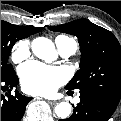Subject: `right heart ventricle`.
I'll return each instance as SVG.
<instances>
[{
  "mask_svg": "<svg viewBox=\"0 0 121 121\" xmlns=\"http://www.w3.org/2000/svg\"><path fill=\"white\" fill-rule=\"evenodd\" d=\"M55 41H56V43H59V42H65V41H73V39L61 35V36H58V37L55 39Z\"/></svg>",
  "mask_w": 121,
  "mask_h": 121,
  "instance_id": "1",
  "label": "right heart ventricle"
}]
</instances>
